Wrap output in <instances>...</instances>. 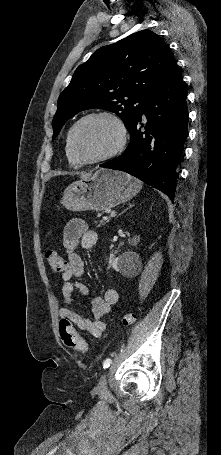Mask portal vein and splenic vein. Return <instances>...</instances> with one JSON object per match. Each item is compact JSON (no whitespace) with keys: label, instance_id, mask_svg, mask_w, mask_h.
Listing matches in <instances>:
<instances>
[{"label":"portal vein and splenic vein","instance_id":"portal-vein-and-splenic-vein-1","mask_svg":"<svg viewBox=\"0 0 221 455\" xmlns=\"http://www.w3.org/2000/svg\"><path fill=\"white\" fill-rule=\"evenodd\" d=\"M103 220L107 221V220H108V217H103Z\"/></svg>","mask_w":221,"mask_h":455}]
</instances>
